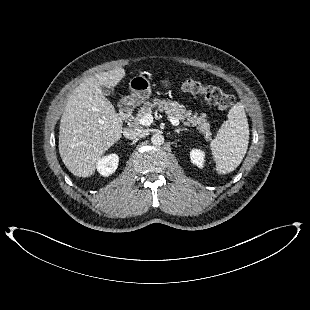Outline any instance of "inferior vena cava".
Instances as JSON below:
<instances>
[{
    "label": "inferior vena cava",
    "instance_id": "602c4592",
    "mask_svg": "<svg viewBox=\"0 0 310 310\" xmlns=\"http://www.w3.org/2000/svg\"><path fill=\"white\" fill-rule=\"evenodd\" d=\"M123 135L128 139H138L142 136V130L126 128L123 132Z\"/></svg>",
    "mask_w": 310,
    "mask_h": 310
}]
</instances>
